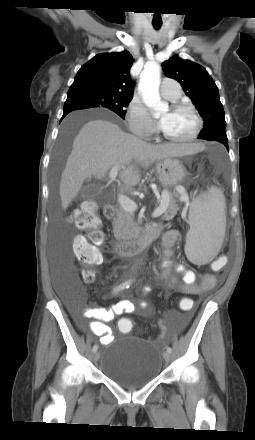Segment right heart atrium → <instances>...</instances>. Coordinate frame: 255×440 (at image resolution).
Here are the masks:
<instances>
[{
  "label": "right heart atrium",
  "mask_w": 255,
  "mask_h": 440,
  "mask_svg": "<svg viewBox=\"0 0 255 440\" xmlns=\"http://www.w3.org/2000/svg\"><path fill=\"white\" fill-rule=\"evenodd\" d=\"M127 121L132 133L142 136L151 135L154 131L146 108L138 99H133L128 108Z\"/></svg>",
  "instance_id": "1"
}]
</instances>
